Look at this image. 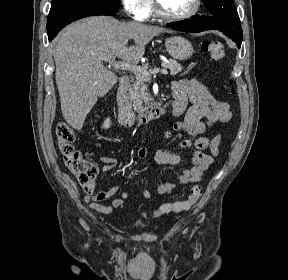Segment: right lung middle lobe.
<instances>
[{"label": "right lung middle lobe", "instance_id": "right-lung-middle-lobe-1", "mask_svg": "<svg viewBox=\"0 0 288 280\" xmlns=\"http://www.w3.org/2000/svg\"><path fill=\"white\" fill-rule=\"evenodd\" d=\"M77 1H84V0H53L51 4V10L65 4H69L72 2H77ZM88 1H93L100 3L102 5L108 6L111 9L115 10L118 12L119 6H120V0H88Z\"/></svg>", "mask_w": 288, "mask_h": 280}]
</instances>
